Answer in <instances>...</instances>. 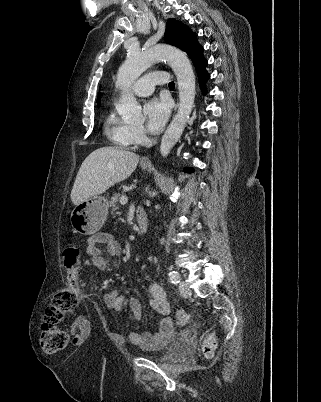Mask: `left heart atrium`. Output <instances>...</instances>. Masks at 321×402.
Wrapping results in <instances>:
<instances>
[{"mask_svg":"<svg viewBox=\"0 0 321 402\" xmlns=\"http://www.w3.org/2000/svg\"><path fill=\"white\" fill-rule=\"evenodd\" d=\"M146 126L152 133L161 131L170 115V104L164 98H155L148 101L144 108Z\"/></svg>","mask_w":321,"mask_h":402,"instance_id":"obj_1","label":"left heart atrium"}]
</instances>
